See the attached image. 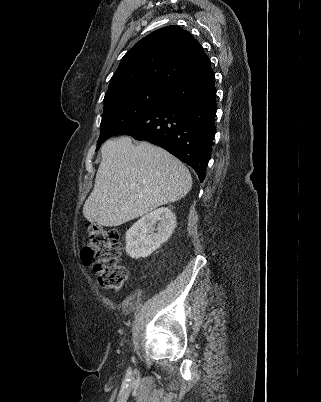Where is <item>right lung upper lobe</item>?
Returning <instances> with one entry per match:
<instances>
[{
    "label": "right lung upper lobe",
    "instance_id": "1",
    "mask_svg": "<svg viewBox=\"0 0 321 402\" xmlns=\"http://www.w3.org/2000/svg\"><path fill=\"white\" fill-rule=\"evenodd\" d=\"M211 65L200 43L179 26L158 29L137 42L122 58L105 97L147 84L170 86Z\"/></svg>",
    "mask_w": 321,
    "mask_h": 402
}]
</instances>
